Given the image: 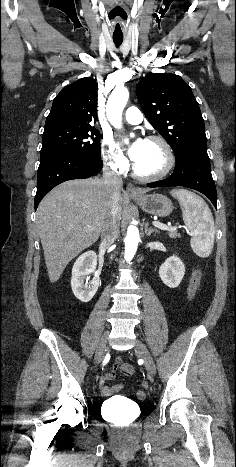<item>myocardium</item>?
Wrapping results in <instances>:
<instances>
[{"label": "myocardium", "instance_id": "obj_1", "mask_svg": "<svg viewBox=\"0 0 236 467\" xmlns=\"http://www.w3.org/2000/svg\"><path fill=\"white\" fill-rule=\"evenodd\" d=\"M146 141L156 142L161 145L165 153V158H166L165 165L159 172H156L153 174H143L137 169L134 163L132 166V174L135 178L142 180V181L161 180L165 178L167 175H169L175 167L176 160H175L173 149L170 146V144L161 136L151 135L146 138Z\"/></svg>", "mask_w": 236, "mask_h": 467}]
</instances>
